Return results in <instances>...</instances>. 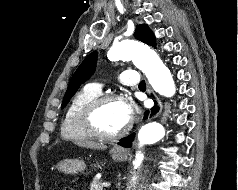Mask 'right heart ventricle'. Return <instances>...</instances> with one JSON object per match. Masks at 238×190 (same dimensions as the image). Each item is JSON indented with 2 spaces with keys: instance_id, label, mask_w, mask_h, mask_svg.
I'll use <instances>...</instances> for the list:
<instances>
[{
  "instance_id": "right-heart-ventricle-1",
  "label": "right heart ventricle",
  "mask_w": 238,
  "mask_h": 190,
  "mask_svg": "<svg viewBox=\"0 0 238 190\" xmlns=\"http://www.w3.org/2000/svg\"><path fill=\"white\" fill-rule=\"evenodd\" d=\"M99 95L100 92L91 87H85L72 98L61 124V136L64 139L73 141L91 139V136L83 129L80 117L86 105Z\"/></svg>"
}]
</instances>
